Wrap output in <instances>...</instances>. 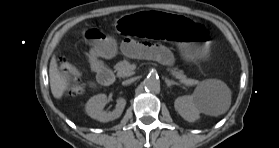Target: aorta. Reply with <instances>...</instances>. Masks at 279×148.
Listing matches in <instances>:
<instances>
[{"label":"aorta","mask_w":279,"mask_h":148,"mask_svg":"<svg viewBox=\"0 0 279 148\" xmlns=\"http://www.w3.org/2000/svg\"><path fill=\"white\" fill-rule=\"evenodd\" d=\"M144 87L146 90L150 91V92H158L160 91V80L158 77L156 76H148L145 80H144Z\"/></svg>","instance_id":"obj_1"}]
</instances>
